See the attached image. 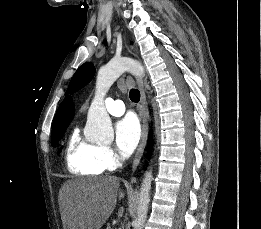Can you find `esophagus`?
<instances>
[{
	"label": "esophagus",
	"instance_id": "esophagus-1",
	"mask_svg": "<svg viewBox=\"0 0 261 229\" xmlns=\"http://www.w3.org/2000/svg\"><path fill=\"white\" fill-rule=\"evenodd\" d=\"M135 79H136V82H137V85L139 87L140 94H141L139 110L142 114V132H141V138H140V142H139V145L137 148V152H136L134 160H133L131 173H133L136 170V168L140 162V159L143 155L144 147L146 144L147 133H148V118H149L148 105H147L143 81L139 76H136Z\"/></svg>",
	"mask_w": 261,
	"mask_h": 229
}]
</instances>
